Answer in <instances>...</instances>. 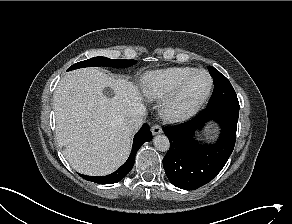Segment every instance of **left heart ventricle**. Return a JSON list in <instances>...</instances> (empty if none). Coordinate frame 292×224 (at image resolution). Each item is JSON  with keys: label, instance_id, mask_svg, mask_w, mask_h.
<instances>
[{"label": "left heart ventricle", "instance_id": "obj_1", "mask_svg": "<svg viewBox=\"0 0 292 224\" xmlns=\"http://www.w3.org/2000/svg\"><path fill=\"white\" fill-rule=\"evenodd\" d=\"M210 79L206 73H197L187 82L178 101L179 108H187L202 98L208 90Z\"/></svg>", "mask_w": 292, "mask_h": 224}]
</instances>
